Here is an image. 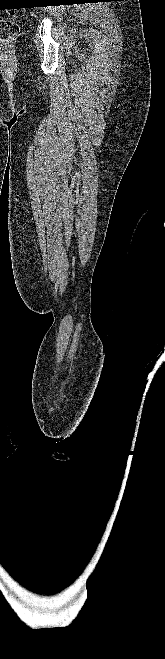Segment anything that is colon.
<instances>
[{"mask_svg":"<svg viewBox=\"0 0 165 659\" xmlns=\"http://www.w3.org/2000/svg\"><path fill=\"white\" fill-rule=\"evenodd\" d=\"M19 27L18 25L10 20L0 19V41L1 42H10L18 34Z\"/></svg>","mask_w":165,"mask_h":659,"instance_id":"obj_1","label":"colon"}]
</instances>
